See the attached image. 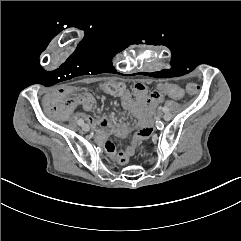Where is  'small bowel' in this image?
Wrapping results in <instances>:
<instances>
[{"mask_svg":"<svg viewBox=\"0 0 241 241\" xmlns=\"http://www.w3.org/2000/svg\"><path fill=\"white\" fill-rule=\"evenodd\" d=\"M109 82L100 84L97 87V91L108 94L105 91V86ZM71 94L74 98H68L63 105V109L55 110L51 105L52 101L63 95ZM133 93L136 99L132 101L127 94V91L120 95L123 97L124 107L138 119L137 129L129 140L128 145L120 152H115V146L111 140V136L115 135L119 138H125L130 132L131 127L126 123H114L113 120L107 117L92 118L85 112L92 109L94 105V97L88 93H79L74 89L66 91L65 88H60L51 94L47 95L44 100V109L48 112L50 117H65L67 111L77 106H81L85 112H80L88 120L93 129L98 134V140L104 145L106 151L110 154L111 158L117 160L120 164L126 165L129 162L130 157L134 155L138 145L148 140L154 133V110L157 104L161 102L162 95H159L155 90L150 91L147 96V87L143 83H136L133 87ZM114 96V95H113ZM183 96V95H182ZM182 96L180 98H182ZM179 98V99H180ZM109 149H112L110 152Z\"/></svg>","mask_w":241,"mask_h":241,"instance_id":"small-bowel-1","label":"small bowel"}]
</instances>
